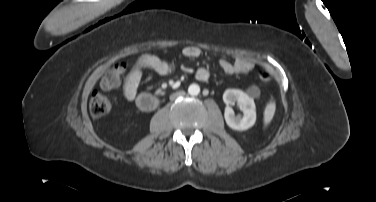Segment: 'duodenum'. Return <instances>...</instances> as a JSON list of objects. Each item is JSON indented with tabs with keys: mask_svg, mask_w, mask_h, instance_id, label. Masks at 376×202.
<instances>
[{
	"mask_svg": "<svg viewBox=\"0 0 376 202\" xmlns=\"http://www.w3.org/2000/svg\"><path fill=\"white\" fill-rule=\"evenodd\" d=\"M136 105L142 111L148 112L154 110L157 107L158 102L154 96L149 94H142L137 97Z\"/></svg>",
	"mask_w": 376,
	"mask_h": 202,
	"instance_id": "410a0bca",
	"label": "duodenum"
}]
</instances>
